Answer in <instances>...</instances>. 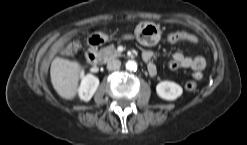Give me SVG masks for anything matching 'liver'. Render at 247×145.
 <instances>
[{
  "instance_id": "obj_1",
  "label": "liver",
  "mask_w": 247,
  "mask_h": 145,
  "mask_svg": "<svg viewBox=\"0 0 247 145\" xmlns=\"http://www.w3.org/2000/svg\"><path fill=\"white\" fill-rule=\"evenodd\" d=\"M81 65L77 61L55 57L51 62L50 76L53 88L66 100L75 98L78 91Z\"/></svg>"
}]
</instances>
